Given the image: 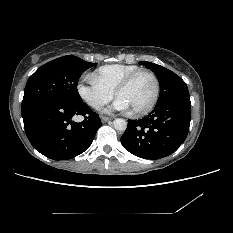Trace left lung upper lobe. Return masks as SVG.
<instances>
[{"label":"left lung upper lobe","instance_id":"obj_1","mask_svg":"<svg viewBox=\"0 0 233 233\" xmlns=\"http://www.w3.org/2000/svg\"><path fill=\"white\" fill-rule=\"evenodd\" d=\"M140 64L151 69L159 79L160 95L156 105L189 95L186 83L174 72L151 62H140Z\"/></svg>","mask_w":233,"mask_h":233}]
</instances>
